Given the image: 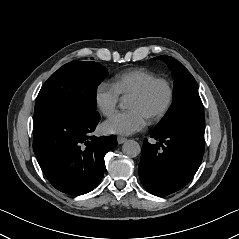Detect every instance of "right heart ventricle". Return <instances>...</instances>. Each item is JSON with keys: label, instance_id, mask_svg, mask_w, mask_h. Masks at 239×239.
<instances>
[{"label": "right heart ventricle", "instance_id": "e07e8e85", "mask_svg": "<svg viewBox=\"0 0 239 239\" xmlns=\"http://www.w3.org/2000/svg\"><path fill=\"white\" fill-rule=\"evenodd\" d=\"M157 76L149 71L136 69L121 74L114 83L118 93L129 98Z\"/></svg>", "mask_w": 239, "mask_h": 239}]
</instances>
